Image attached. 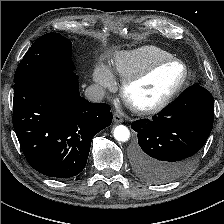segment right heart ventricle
<instances>
[{"mask_svg":"<svg viewBox=\"0 0 224 224\" xmlns=\"http://www.w3.org/2000/svg\"><path fill=\"white\" fill-rule=\"evenodd\" d=\"M172 55L157 46L145 45L133 50L120 51L114 56L112 71L122 78L131 76L153 62L170 58Z\"/></svg>","mask_w":224,"mask_h":224,"instance_id":"obj_1","label":"right heart ventricle"}]
</instances>
